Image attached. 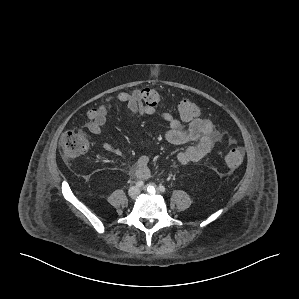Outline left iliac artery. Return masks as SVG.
Returning a JSON list of instances; mask_svg holds the SVG:
<instances>
[{
    "label": "left iliac artery",
    "mask_w": 299,
    "mask_h": 299,
    "mask_svg": "<svg viewBox=\"0 0 299 299\" xmlns=\"http://www.w3.org/2000/svg\"><path fill=\"white\" fill-rule=\"evenodd\" d=\"M158 189L161 192H165L166 191L165 187L163 185H161V184L158 186ZM147 191L152 192L153 189L152 188H148Z\"/></svg>",
    "instance_id": "left-iliac-artery-1"
}]
</instances>
